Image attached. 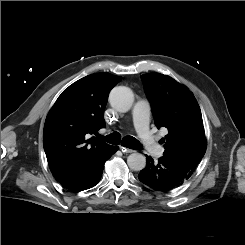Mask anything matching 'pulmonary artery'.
<instances>
[{
  "label": "pulmonary artery",
  "instance_id": "e3ab8cb5",
  "mask_svg": "<svg viewBox=\"0 0 245 245\" xmlns=\"http://www.w3.org/2000/svg\"><path fill=\"white\" fill-rule=\"evenodd\" d=\"M132 119L135 131L141 139L146 151L155 157H162L164 149L156 141L150 130V107L145 100H140L135 103L132 109Z\"/></svg>",
  "mask_w": 245,
  "mask_h": 245
}]
</instances>
